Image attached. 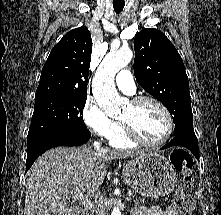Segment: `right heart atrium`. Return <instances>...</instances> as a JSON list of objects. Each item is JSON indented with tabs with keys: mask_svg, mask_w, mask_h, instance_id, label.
Here are the masks:
<instances>
[{
	"mask_svg": "<svg viewBox=\"0 0 221 215\" xmlns=\"http://www.w3.org/2000/svg\"><path fill=\"white\" fill-rule=\"evenodd\" d=\"M82 119L86 127L96 136L109 139L117 131L118 123L110 118L101 107L87 99L82 109Z\"/></svg>",
	"mask_w": 221,
	"mask_h": 215,
	"instance_id": "d8ad5b80",
	"label": "right heart atrium"
}]
</instances>
